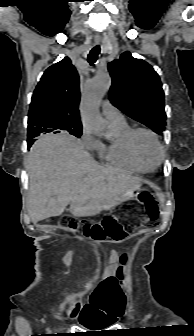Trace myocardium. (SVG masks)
I'll use <instances>...</instances> for the list:
<instances>
[{
	"mask_svg": "<svg viewBox=\"0 0 194 336\" xmlns=\"http://www.w3.org/2000/svg\"><path fill=\"white\" fill-rule=\"evenodd\" d=\"M140 133H145L150 135L153 140L155 141L159 152H160V157L159 160L155 164H150L147 161H145L141 155L139 154L138 148H137V136ZM127 144L129 147L130 152L132 153L133 157L142 165L154 170L156 167H158L162 161L164 160V147L159 139V136L155 131H153L150 128L147 127H135L131 128L130 131L127 134Z\"/></svg>",
	"mask_w": 194,
	"mask_h": 336,
	"instance_id": "f54148a6",
	"label": "myocardium"
}]
</instances>
